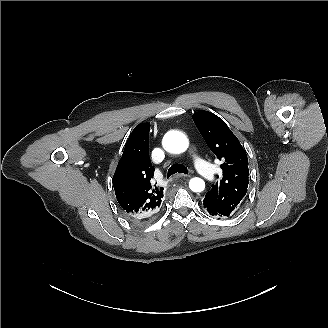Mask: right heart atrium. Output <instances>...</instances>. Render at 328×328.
<instances>
[{"label": "right heart atrium", "mask_w": 328, "mask_h": 328, "mask_svg": "<svg viewBox=\"0 0 328 328\" xmlns=\"http://www.w3.org/2000/svg\"><path fill=\"white\" fill-rule=\"evenodd\" d=\"M151 150H152V151H154V150H155V148H152Z\"/></svg>", "instance_id": "right-heart-atrium-1"}]
</instances>
